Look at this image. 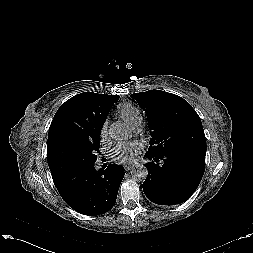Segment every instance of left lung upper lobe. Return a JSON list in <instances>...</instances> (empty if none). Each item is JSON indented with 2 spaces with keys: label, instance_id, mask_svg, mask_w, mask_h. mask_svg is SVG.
<instances>
[{
  "label": "left lung upper lobe",
  "instance_id": "obj_1",
  "mask_svg": "<svg viewBox=\"0 0 253 253\" xmlns=\"http://www.w3.org/2000/svg\"><path fill=\"white\" fill-rule=\"evenodd\" d=\"M130 97L146 112L153 130L148 153L161 155L184 148L206 151L201 119L185 99L161 90Z\"/></svg>",
  "mask_w": 253,
  "mask_h": 253
}]
</instances>
